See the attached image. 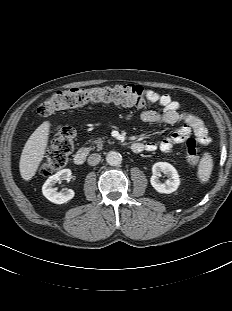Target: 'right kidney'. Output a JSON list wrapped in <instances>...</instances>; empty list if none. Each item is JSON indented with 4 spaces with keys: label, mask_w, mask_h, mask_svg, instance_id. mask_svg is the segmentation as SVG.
Here are the masks:
<instances>
[{
    "label": "right kidney",
    "mask_w": 232,
    "mask_h": 311,
    "mask_svg": "<svg viewBox=\"0 0 232 311\" xmlns=\"http://www.w3.org/2000/svg\"><path fill=\"white\" fill-rule=\"evenodd\" d=\"M72 173L70 169H63L56 174L50 176L42 187L43 195L51 202L55 204H63L71 200L74 197V191L72 189H66L64 192H58L53 186L62 180L70 181Z\"/></svg>",
    "instance_id": "1"
}]
</instances>
